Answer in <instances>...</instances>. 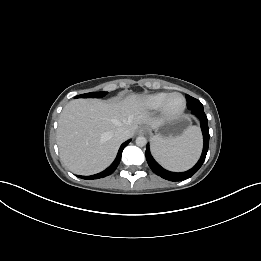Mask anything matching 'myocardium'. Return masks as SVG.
Segmentation results:
<instances>
[{
    "label": "myocardium",
    "instance_id": "myocardium-1",
    "mask_svg": "<svg viewBox=\"0 0 261 261\" xmlns=\"http://www.w3.org/2000/svg\"><path fill=\"white\" fill-rule=\"evenodd\" d=\"M176 95H178L182 98L183 104L179 110L172 112L168 109V102L173 96H176ZM186 107H187V101H186L185 96L179 92H173V93H170L167 95L160 110L164 117H166L167 119L173 120V119L179 118L185 112Z\"/></svg>",
    "mask_w": 261,
    "mask_h": 261
}]
</instances>
